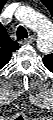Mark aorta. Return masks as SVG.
<instances>
[{"label": "aorta", "mask_w": 53, "mask_h": 120, "mask_svg": "<svg viewBox=\"0 0 53 120\" xmlns=\"http://www.w3.org/2000/svg\"><path fill=\"white\" fill-rule=\"evenodd\" d=\"M23 21L38 34L37 45L41 51H47L52 42V24L42 15L25 12Z\"/></svg>", "instance_id": "obj_1"}]
</instances>
